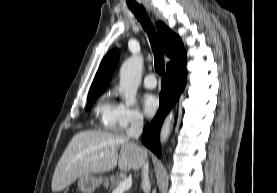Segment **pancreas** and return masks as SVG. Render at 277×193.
Wrapping results in <instances>:
<instances>
[{"label":"pancreas","instance_id":"pancreas-1","mask_svg":"<svg viewBox=\"0 0 277 193\" xmlns=\"http://www.w3.org/2000/svg\"><path fill=\"white\" fill-rule=\"evenodd\" d=\"M120 182H121V179L113 175L109 176L106 179V184L110 183V189H113V190L119 185Z\"/></svg>","mask_w":277,"mask_h":193}]
</instances>
